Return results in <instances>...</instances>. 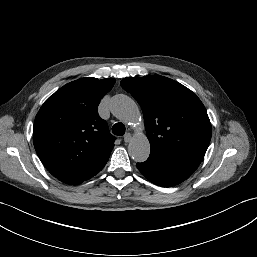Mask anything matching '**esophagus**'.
Here are the masks:
<instances>
[{"label":"esophagus","mask_w":257,"mask_h":257,"mask_svg":"<svg viewBox=\"0 0 257 257\" xmlns=\"http://www.w3.org/2000/svg\"><path fill=\"white\" fill-rule=\"evenodd\" d=\"M123 140H124L125 143H128L131 140V134L130 133H126L124 135Z\"/></svg>","instance_id":"1"}]
</instances>
